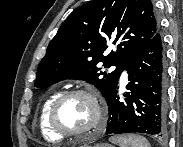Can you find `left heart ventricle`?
Masks as SVG:
<instances>
[{"instance_id": "left-heart-ventricle-1", "label": "left heart ventricle", "mask_w": 183, "mask_h": 147, "mask_svg": "<svg viewBox=\"0 0 183 147\" xmlns=\"http://www.w3.org/2000/svg\"><path fill=\"white\" fill-rule=\"evenodd\" d=\"M57 117L64 128L81 130L92 123L94 110L91 102L86 97L72 96L61 104Z\"/></svg>"}]
</instances>
